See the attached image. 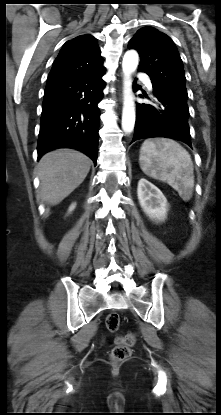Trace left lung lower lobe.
Instances as JSON below:
<instances>
[{"mask_svg":"<svg viewBox=\"0 0 221 415\" xmlns=\"http://www.w3.org/2000/svg\"><path fill=\"white\" fill-rule=\"evenodd\" d=\"M152 94L154 105L136 104L137 117L132 142L165 137L182 141L191 147L187 95L155 87ZM139 97L148 98V95L143 91Z\"/></svg>","mask_w":221,"mask_h":415,"instance_id":"1","label":"left lung lower lobe"}]
</instances>
